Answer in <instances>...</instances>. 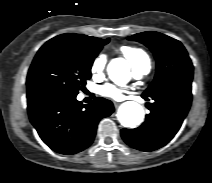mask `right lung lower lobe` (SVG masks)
I'll list each match as a JSON object with an SVG mask.
<instances>
[{
    "label": "right lung lower lobe",
    "instance_id": "obj_1",
    "mask_svg": "<svg viewBox=\"0 0 212 183\" xmlns=\"http://www.w3.org/2000/svg\"><path fill=\"white\" fill-rule=\"evenodd\" d=\"M29 118L41 139L52 150L71 155L91 145L100 119L111 115V101L95 98L82 105L76 95L56 91L27 94Z\"/></svg>",
    "mask_w": 212,
    "mask_h": 183
}]
</instances>
